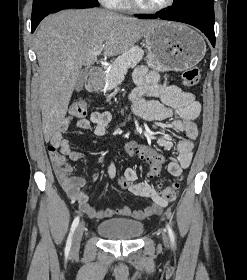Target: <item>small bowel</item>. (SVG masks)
Here are the masks:
<instances>
[{"label":"small bowel","instance_id":"small-bowel-1","mask_svg":"<svg viewBox=\"0 0 247 280\" xmlns=\"http://www.w3.org/2000/svg\"><path fill=\"white\" fill-rule=\"evenodd\" d=\"M134 81L136 88L131 92L130 100L133 111L137 116L149 121L169 119L174 113L178 116V119L172 121L171 126L174 130L184 133V137L176 146L177 160L170 162L167 167L172 176L178 177L182 175L184 169L190 166L193 158V141L198 135L197 118L200 114V104L192 93L183 91L176 85L161 81L156 72L149 71L144 66H139L135 69ZM145 96H149L150 99H145ZM114 117V113L110 111L93 112L89 118L78 120L76 125L80 129L93 127L94 134L102 137L106 134L107 127ZM72 121L73 118L70 115L60 121L51 135L50 146L66 155L71 161L76 162L82 160L85 155L80 151L72 150L69 141L63 137L64 132ZM157 142L165 149L173 147L170 140L162 137H159ZM107 175L111 179L114 178V165L110 164L107 167ZM97 176L98 170H95L93 180ZM123 176L132 181V186L127 188L130 193L137 197L150 199L152 204L144 209L134 210L127 206L116 209H96L90 204L88 193L83 190L84 186L89 182L86 178L71 175L69 177L58 176V180L66 195L78 204L83 213L95 220L108 219L113 216H131L141 220L158 213L168 204V201L158 194L149 183L136 182L137 173L134 169L128 168Z\"/></svg>","mask_w":247,"mask_h":280}]
</instances>
